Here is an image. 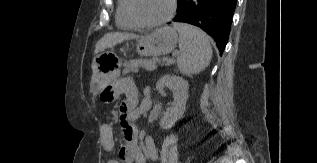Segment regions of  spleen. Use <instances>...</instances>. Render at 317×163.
<instances>
[{"label": "spleen", "mask_w": 317, "mask_h": 163, "mask_svg": "<svg viewBox=\"0 0 317 163\" xmlns=\"http://www.w3.org/2000/svg\"><path fill=\"white\" fill-rule=\"evenodd\" d=\"M179 33L180 55L177 58L179 70L186 75L203 71L212 58L210 39L202 30L185 23H175Z\"/></svg>", "instance_id": "1"}]
</instances>
